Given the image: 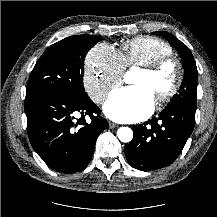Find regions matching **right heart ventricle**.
<instances>
[{"mask_svg":"<svg viewBox=\"0 0 217 217\" xmlns=\"http://www.w3.org/2000/svg\"><path fill=\"white\" fill-rule=\"evenodd\" d=\"M172 55V48L165 41L140 36L127 40L121 44L118 57L125 68L148 65L155 60Z\"/></svg>","mask_w":217,"mask_h":217,"instance_id":"obj_1","label":"right heart ventricle"}]
</instances>
